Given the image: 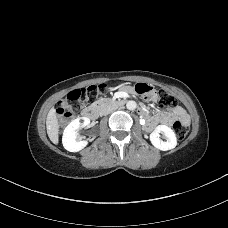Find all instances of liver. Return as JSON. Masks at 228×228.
Wrapping results in <instances>:
<instances>
[{"label":"liver","mask_w":228,"mask_h":228,"mask_svg":"<svg viewBox=\"0 0 228 228\" xmlns=\"http://www.w3.org/2000/svg\"><path fill=\"white\" fill-rule=\"evenodd\" d=\"M46 128H47V134L50 140L54 144H58L59 142V125H58V120L57 116L55 113V108L52 107L47 115L46 118Z\"/></svg>","instance_id":"obj_1"}]
</instances>
